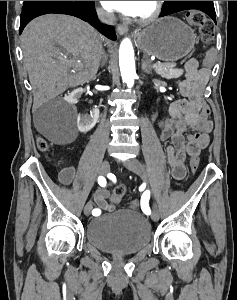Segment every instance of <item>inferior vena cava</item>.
I'll return each instance as SVG.
<instances>
[{
	"instance_id": "602c4592",
	"label": "inferior vena cava",
	"mask_w": 237,
	"mask_h": 300,
	"mask_svg": "<svg viewBox=\"0 0 237 300\" xmlns=\"http://www.w3.org/2000/svg\"><path fill=\"white\" fill-rule=\"evenodd\" d=\"M97 15L102 23H106V25H116L117 19L114 13H106L103 9H97Z\"/></svg>"
}]
</instances>
